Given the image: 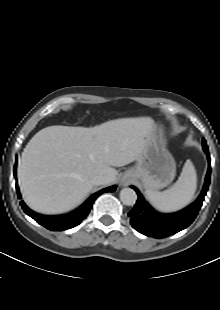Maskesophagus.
I'll return each mask as SVG.
<instances>
[{"label":"esophagus","mask_w":220,"mask_h":310,"mask_svg":"<svg viewBox=\"0 0 220 310\" xmlns=\"http://www.w3.org/2000/svg\"><path fill=\"white\" fill-rule=\"evenodd\" d=\"M130 182H131V180H129V179L121 180V184H123V185H128Z\"/></svg>","instance_id":"obj_1"}]
</instances>
